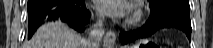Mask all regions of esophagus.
Returning a JSON list of instances; mask_svg holds the SVG:
<instances>
[{"mask_svg":"<svg viewBox=\"0 0 213 48\" xmlns=\"http://www.w3.org/2000/svg\"><path fill=\"white\" fill-rule=\"evenodd\" d=\"M115 39H116V37H115V33L114 32H112V31H107L106 32V35H105V38H104V41L106 43L109 41L110 43L114 44L115 43Z\"/></svg>","mask_w":213,"mask_h":48,"instance_id":"obj_1","label":"esophagus"}]
</instances>
